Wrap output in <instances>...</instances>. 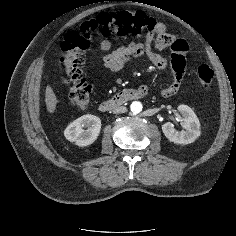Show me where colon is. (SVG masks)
<instances>
[{
	"mask_svg": "<svg viewBox=\"0 0 236 236\" xmlns=\"http://www.w3.org/2000/svg\"><path fill=\"white\" fill-rule=\"evenodd\" d=\"M145 32H152L164 41L172 39L168 30L154 18L143 12L127 10L102 13L69 31L61 45V63L70 103L78 108H86L91 101L92 87L83 76L81 65L84 53L96 34L105 37L114 34L141 37ZM197 77L200 85L207 88L213 82L214 72L209 65L204 64L198 67Z\"/></svg>",
	"mask_w": 236,
	"mask_h": 236,
	"instance_id": "1",
	"label": "colon"
}]
</instances>
